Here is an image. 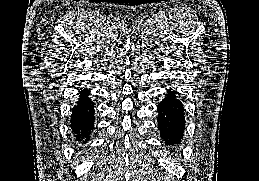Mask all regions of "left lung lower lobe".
Here are the masks:
<instances>
[{
	"label": "left lung lower lobe",
	"mask_w": 259,
	"mask_h": 181,
	"mask_svg": "<svg viewBox=\"0 0 259 181\" xmlns=\"http://www.w3.org/2000/svg\"><path fill=\"white\" fill-rule=\"evenodd\" d=\"M158 104V129L166 144H179L185 129L184 107L174 91L168 90Z\"/></svg>",
	"instance_id": "left-lung-lower-lobe-1"
}]
</instances>
